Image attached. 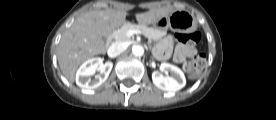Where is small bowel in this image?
<instances>
[{
  "instance_id": "c3829d8e",
  "label": "small bowel",
  "mask_w": 276,
  "mask_h": 120,
  "mask_svg": "<svg viewBox=\"0 0 276 120\" xmlns=\"http://www.w3.org/2000/svg\"><path fill=\"white\" fill-rule=\"evenodd\" d=\"M171 43V39L168 38L163 45V56H168L169 54V44ZM195 54V49L193 45H178L174 52V60L178 63L184 62L188 57H191Z\"/></svg>"
}]
</instances>
